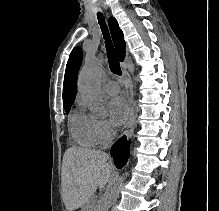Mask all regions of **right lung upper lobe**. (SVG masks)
Masks as SVG:
<instances>
[{"instance_id":"cb5924a9","label":"right lung upper lobe","mask_w":219,"mask_h":211,"mask_svg":"<svg viewBox=\"0 0 219 211\" xmlns=\"http://www.w3.org/2000/svg\"><path fill=\"white\" fill-rule=\"evenodd\" d=\"M108 23L118 58L120 61H123L125 57L126 46L123 33L119 28L115 18L110 17ZM81 61L82 50L79 47H76L72 50L66 65L63 85V105L73 104L75 100L77 93V74L81 65Z\"/></svg>"}]
</instances>
